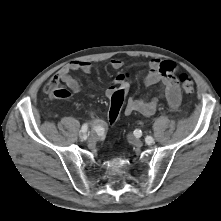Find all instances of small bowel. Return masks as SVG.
I'll use <instances>...</instances> for the list:
<instances>
[{
	"label": "small bowel",
	"mask_w": 221,
	"mask_h": 221,
	"mask_svg": "<svg viewBox=\"0 0 221 221\" xmlns=\"http://www.w3.org/2000/svg\"><path fill=\"white\" fill-rule=\"evenodd\" d=\"M110 66L114 70H120L123 67V61L120 59H112ZM92 70L93 65L90 61H73L62 67L53 78L58 80V82L64 83L73 93H77L81 90V84L71 73L73 71H81L89 74ZM175 71L176 66L173 62L154 58L149 61V70L144 78V84L147 88H151L155 85L161 86V97L166 100L169 108L173 111L177 110L181 103V90L174 76ZM129 87L127 75L125 73H119L116 75L113 84L106 88L104 93L107 97H110L113 91L118 88H124L127 93ZM158 104V97H154L150 100L130 97L125 106V113L132 114L137 112L144 116H151L156 112Z\"/></svg>",
	"instance_id": "obj_1"
}]
</instances>
